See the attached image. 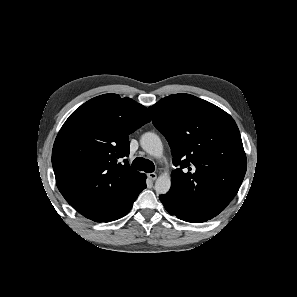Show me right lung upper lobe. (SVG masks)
Listing matches in <instances>:
<instances>
[{
    "label": "right lung upper lobe",
    "instance_id": "obj_1",
    "mask_svg": "<svg viewBox=\"0 0 297 297\" xmlns=\"http://www.w3.org/2000/svg\"><path fill=\"white\" fill-rule=\"evenodd\" d=\"M146 107L117 94L97 96L76 109L52 150L56 184L66 201L96 222L108 216L142 173L132 169L128 135L150 122Z\"/></svg>",
    "mask_w": 297,
    "mask_h": 297
}]
</instances>
